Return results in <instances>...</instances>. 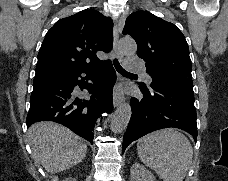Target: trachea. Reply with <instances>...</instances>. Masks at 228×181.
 Here are the masks:
<instances>
[{"label": "trachea", "mask_w": 228, "mask_h": 181, "mask_svg": "<svg viewBox=\"0 0 228 181\" xmlns=\"http://www.w3.org/2000/svg\"><path fill=\"white\" fill-rule=\"evenodd\" d=\"M115 69L122 74H127V75H133V73H129L128 71L124 70L122 66L120 65L119 61L117 59H114L113 61Z\"/></svg>", "instance_id": "obj_1"}]
</instances>
